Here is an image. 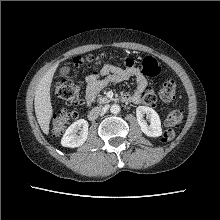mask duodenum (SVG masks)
Returning <instances> with one entry per match:
<instances>
[{"instance_id":"obj_1","label":"duodenum","mask_w":220,"mask_h":220,"mask_svg":"<svg viewBox=\"0 0 220 220\" xmlns=\"http://www.w3.org/2000/svg\"><path fill=\"white\" fill-rule=\"evenodd\" d=\"M101 110H102V107H95V108L91 109L88 113L89 120L97 119Z\"/></svg>"}]
</instances>
